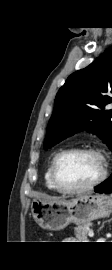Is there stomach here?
Wrapping results in <instances>:
<instances>
[{
  "label": "stomach",
  "mask_w": 112,
  "mask_h": 270,
  "mask_svg": "<svg viewBox=\"0 0 112 270\" xmlns=\"http://www.w3.org/2000/svg\"><path fill=\"white\" fill-rule=\"evenodd\" d=\"M31 211L35 222L46 230H61L70 223L82 225L112 213V199L106 195H79L71 200L34 199Z\"/></svg>",
  "instance_id": "1"
}]
</instances>
